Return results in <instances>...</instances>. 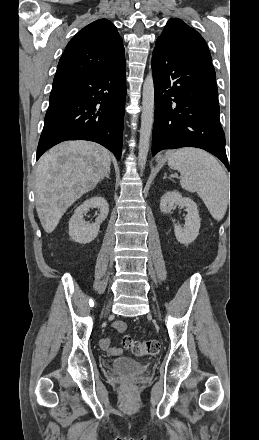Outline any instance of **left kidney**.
Wrapping results in <instances>:
<instances>
[{"label":"left kidney","mask_w":259,"mask_h":440,"mask_svg":"<svg viewBox=\"0 0 259 440\" xmlns=\"http://www.w3.org/2000/svg\"><path fill=\"white\" fill-rule=\"evenodd\" d=\"M174 205L185 206L188 212L184 227L174 226V232L178 242L189 245L199 235L201 219L197 205L192 199L183 197L178 191H167L160 201L161 212L170 213Z\"/></svg>","instance_id":"obj_1"}]
</instances>
